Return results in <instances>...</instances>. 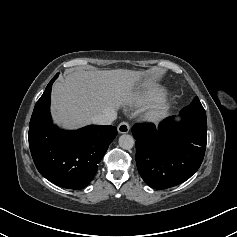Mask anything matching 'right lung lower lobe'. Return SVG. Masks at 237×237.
<instances>
[{"label":"right lung lower lobe","mask_w":237,"mask_h":237,"mask_svg":"<svg viewBox=\"0 0 237 237\" xmlns=\"http://www.w3.org/2000/svg\"><path fill=\"white\" fill-rule=\"evenodd\" d=\"M49 82L37 101L29 125V147L38 171L52 183L82 189L93 179L98 163L117 135L114 126L90 125L75 131L53 126L50 116Z\"/></svg>","instance_id":"1"}]
</instances>
